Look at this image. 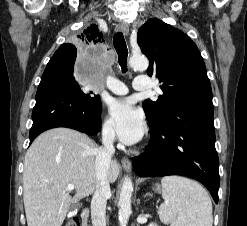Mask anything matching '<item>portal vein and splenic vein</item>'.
I'll list each match as a JSON object with an SVG mask.
<instances>
[{"label": "portal vein and splenic vein", "instance_id": "portal-vein-and-splenic-vein-1", "mask_svg": "<svg viewBox=\"0 0 247 226\" xmlns=\"http://www.w3.org/2000/svg\"><path fill=\"white\" fill-rule=\"evenodd\" d=\"M74 185L73 184H68L67 187H66V191H72L74 190Z\"/></svg>", "mask_w": 247, "mask_h": 226}]
</instances>
